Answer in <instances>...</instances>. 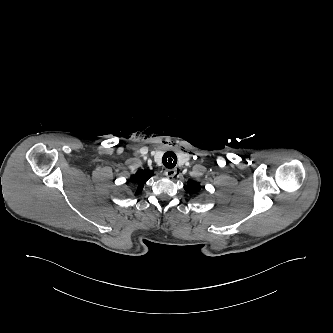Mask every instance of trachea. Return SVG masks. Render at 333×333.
Listing matches in <instances>:
<instances>
[{
	"mask_svg": "<svg viewBox=\"0 0 333 333\" xmlns=\"http://www.w3.org/2000/svg\"><path fill=\"white\" fill-rule=\"evenodd\" d=\"M163 165L167 168H173L177 164V156L172 151H167L162 158Z\"/></svg>",
	"mask_w": 333,
	"mask_h": 333,
	"instance_id": "1",
	"label": "trachea"
}]
</instances>
